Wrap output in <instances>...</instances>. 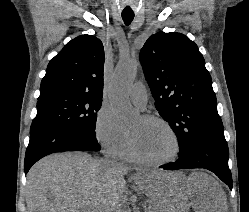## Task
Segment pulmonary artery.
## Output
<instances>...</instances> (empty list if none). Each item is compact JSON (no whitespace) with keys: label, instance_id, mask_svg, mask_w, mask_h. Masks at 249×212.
Wrapping results in <instances>:
<instances>
[{"label":"pulmonary artery","instance_id":"e3ab8cb5","mask_svg":"<svg viewBox=\"0 0 249 212\" xmlns=\"http://www.w3.org/2000/svg\"><path fill=\"white\" fill-rule=\"evenodd\" d=\"M130 99L135 106L144 109L147 103V90L143 82H135L130 89Z\"/></svg>","mask_w":249,"mask_h":212}]
</instances>
